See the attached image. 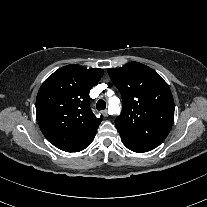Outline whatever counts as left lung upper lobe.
<instances>
[{
    "label": "left lung upper lobe",
    "mask_w": 207,
    "mask_h": 207,
    "mask_svg": "<svg viewBox=\"0 0 207 207\" xmlns=\"http://www.w3.org/2000/svg\"><path fill=\"white\" fill-rule=\"evenodd\" d=\"M108 74L123 100L121 115L115 121L121 138L159 146L174 120V101L167 83L153 69L138 62L110 68Z\"/></svg>",
    "instance_id": "left-lung-upper-lobe-1"
}]
</instances>
